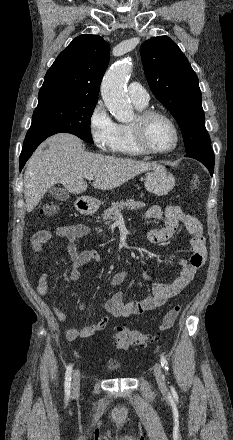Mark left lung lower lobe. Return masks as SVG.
<instances>
[{
	"label": "left lung lower lobe",
	"instance_id": "left-lung-lower-lobe-1",
	"mask_svg": "<svg viewBox=\"0 0 233 440\" xmlns=\"http://www.w3.org/2000/svg\"><path fill=\"white\" fill-rule=\"evenodd\" d=\"M186 157L194 158L204 164L209 170L211 176L214 170V154L212 148H205L195 152L187 153Z\"/></svg>",
	"mask_w": 233,
	"mask_h": 440
}]
</instances>
